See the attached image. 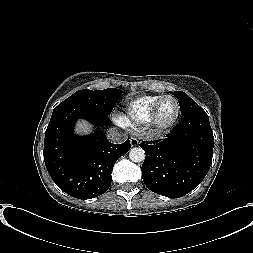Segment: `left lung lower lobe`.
Segmentation results:
<instances>
[{"label": "left lung lower lobe", "instance_id": "0a47b994", "mask_svg": "<svg viewBox=\"0 0 253 253\" xmlns=\"http://www.w3.org/2000/svg\"><path fill=\"white\" fill-rule=\"evenodd\" d=\"M214 137L206 112L183 116L164 140L144 141L146 158L142 178L148 189L171 198H180L208 173Z\"/></svg>", "mask_w": 253, "mask_h": 253}]
</instances>
